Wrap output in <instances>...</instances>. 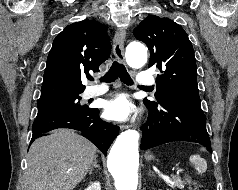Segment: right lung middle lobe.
<instances>
[{
  "instance_id": "1",
  "label": "right lung middle lobe",
  "mask_w": 238,
  "mask_h": 190,
  "mask_svg": "<svg viewBox=\"0 0 238 190\" xmlns=\"http://www.w3.org/2000/svg\"><path fill=\"white\" fill-rule=\"evenodd\" d=\"M81 97L79 94L68 95L44 100H38L37 117H42L59 112L77 111L87 109V106H82L79 102Z\"/></svg>"
}]
</instances>
